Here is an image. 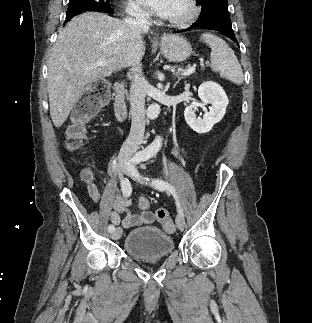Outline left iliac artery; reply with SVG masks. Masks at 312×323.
<instances>
[{
  "instance_id": "44dca946",
  "label": "left iliac artery",
  "mask_w": 312,
  "mask_h": 323,
  "mask_svg": "<svg viewBox=\"0 0 312 323\" xmlns=\"http://www.w3.org/2000/svg\"><path fill=\"white\" fill-rule=\"evenodd\" d=\"M142 161H144L143 158L138 159V162H142ZM133 172L135 173V169L133 170ZM152 186H154L158 190H167V191H169L174 196V198L176 199V204L178 206V211L183 214L174 186H172L168 181H165L163 179H153L152 180Z\"/></svg>"
}]
</instances>
